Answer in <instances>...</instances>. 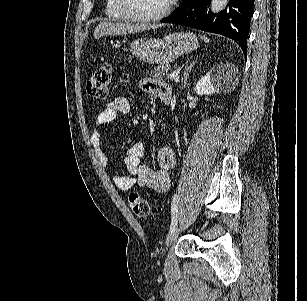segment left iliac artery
I'll use <instances>...</instances> for the list:
<instances>
[{
    "label": "left iliac artery",
    "instance_id": "44dca946",
    "mask_svg": "<svg viewBox=\"0 0 307 301\" xmlns=\"http://www.w3.org/2000/svg\"><path fill=\"white\" fill-rule=\"evenodd\" d=\"M178 201H179V195L175 194L172 199L171 203V225H170V232L173 231L178 223Z\"/></svg>",
    "mask_w": 307,
    "mask_h": 301
}]
</instances>
